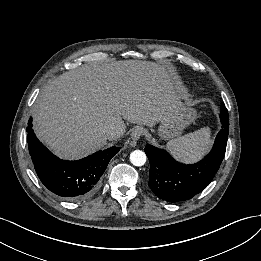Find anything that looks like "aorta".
Segmentation results:
<instances>
[{
	"instance_id": "762f6f07",
	"label": "aorta",
	"mask_w": 261,
	"mask_h": 261,
	"mask_svg": "<svg viewBox=\"0 0 261 261\" xmlns=\"http://www.w3.org/2000/svg\"><path fill=\"white\" fill-rule=\"evenodd\" d=\"M146 154L141 150H135L130 154V162L134 166H143L146 163Z\"/></svg>"
}]
</instances>
